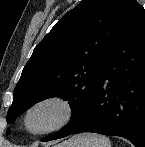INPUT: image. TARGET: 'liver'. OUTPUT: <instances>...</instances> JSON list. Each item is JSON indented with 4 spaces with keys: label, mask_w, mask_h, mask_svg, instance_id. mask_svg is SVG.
<instances>
[{
    "label": "liver",
    "mask_w": 145,
    "mask_h": 147,
    "mask_svg": "<svg viewBox=\"0 0 145 147\" xmlns=\"http://www.w3.org/2000/svg\"><path fill=\"white\" fill-rule=\"evenodd\" d=\"M72 140L73 139H71V140H69V141H67V142H64V143H62V144H60L59 146H64V147H69V145H70V143L72 142Z\"/></svg>",
    "instance_id": "liver-1"
}]
</instances>
